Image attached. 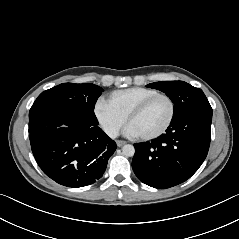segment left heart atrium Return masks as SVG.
Segmentation results:
<instances>
[{
  "label": "left heart atrium",
  "instance_id": "1",
  "mask_svg": "<svg viewBox=\"0 0 239 239\" xmlns=\"http://www.w3.org/2000/svg\"><path fill=\"white\" fill-rule=\"evenodd\" d=\"M125 133L128 135V136H131V137H137L138 134L137 132L130 126L128 125L125 129Z\"/></svg>",
  "mask_w": 239,
  "mask_h": 239
}]
</instances>
